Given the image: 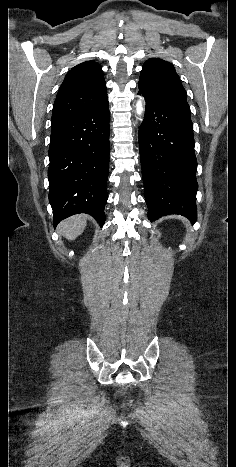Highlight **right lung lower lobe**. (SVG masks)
<instances>
[{
  "mask_svg": "<svg viewBox=\"0 0 236 467\" xmlns=\"http://www.w3.org/2000/svg\"><path fill=\"white\" fill-rule=\"evenodd\" d=\"M108 98L70 120L51 125L49 202L54 226L78 213L105 223L109 163Z\"/></svg>",
  "mask_w": 236,
  "mask_h": 467,
  "instance_id": "1",
  "label": "right lung lower lobe"
}]
</instances>
